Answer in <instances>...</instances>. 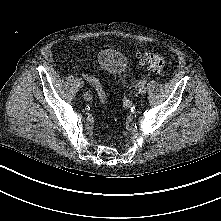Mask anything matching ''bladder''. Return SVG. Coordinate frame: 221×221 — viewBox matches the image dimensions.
Instances as JSON below:
<instances>
[{
	"instance_id": "1",
	"label": "bladder",
	"mask_w": 221,
	"mask_h": 221,
	"mask_svg": "<svg viewBox=\"0 0 221 221\" xmlns=\"http://www.w3.org/2000/svg\"><path fill=\"white\" fill-rule=\"evenodd\" d=\"M98 64L111 79L119 81L125 74L127 62L122 53L105 49L98 54Z\"/></svg>"
}]
</instances>
